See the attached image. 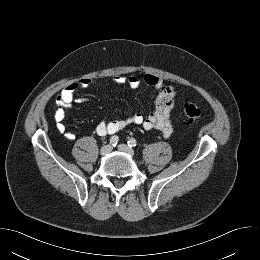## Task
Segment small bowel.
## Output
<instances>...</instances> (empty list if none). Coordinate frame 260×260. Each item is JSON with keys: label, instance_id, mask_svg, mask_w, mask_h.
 <instances>
[{"label": "small bowel", "instance_id": "small-bowel-1", "mask_svg": "<svg viewBox=\"0 0 260 260\" xmlns=\"http://www.w3.org/2000/svg\"><path fill=\"white\" fill-rule=\"evenodd\" d=\"M99 81L100 79L95 77L79 79L61 91L58 97L59 107L55 113V121L57 129L68 140H74L75 134L66 130L63 123L64 109L71 107L74 102L79 100L77 92L80 89L95 86ZM143 81L157 91L152 111L147 116L134 113L117 120L99 122L96 126V132L99 136L118 133L130 125H139L146 130L157 129L166 138L171 136L173 132L172 113L176 106L177 89L154 74H146ZM112 82L116 85H127L130 89H136L140 85L141 80L135 75L128 77L117 75L112 78Z\"/></svg>", "mask_w": 260, "mask_h": 260}]
</instances>
